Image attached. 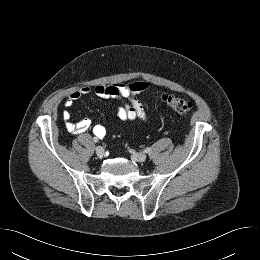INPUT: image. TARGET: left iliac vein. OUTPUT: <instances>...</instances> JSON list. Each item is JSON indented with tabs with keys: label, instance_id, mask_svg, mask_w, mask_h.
Here are the masks:
<instances>
[{
	"label": "left iliac vein",
	"instance_id": "4c4485c4",
	"mask_svg": "<svg viewBox=\"0 0 260 260\" xmlns=\"http://www.w3.org/2000/svg\"><path fill=\"white\" fill-rule=\"evenodd\" d=\"M147 156L145 153H134L131 155V159L134 162H144L146 160Z\"/></svg>",
	"mask_w": 260,
	"mask_h": 260
}]
</instances>
